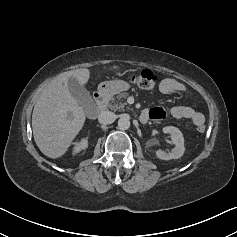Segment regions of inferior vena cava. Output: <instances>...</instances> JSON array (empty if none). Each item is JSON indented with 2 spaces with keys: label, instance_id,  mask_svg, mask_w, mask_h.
Instances as JSON below:
<instances>
[{
  "label": "inferior vena cava",
  "instance_id": "1",
  "mask_svg": "<svg viewBox=\"0 0 237 237\" xmlns=\"http://www.w3.org/2000/svg\"><path fill=\"white\" fill-rule=\"evenodd\" d=\"M116 120V115L115 113L111 112V111H102L100 112V114L98 115V121L100 124L102 125H107V124H111Z\"/></svg>",
  "mask_w": 237,
  "mask_h": 237
}]
</instances>
